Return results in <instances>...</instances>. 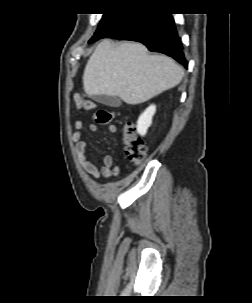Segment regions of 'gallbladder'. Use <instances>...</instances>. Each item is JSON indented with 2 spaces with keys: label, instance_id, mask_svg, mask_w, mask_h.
I'll use <instances>...</instances> for the list:
<instances>
[{
  "label": "gallbladder",
  "instance_id": "bac80fb5",
  "mask_svg": "<svg viewBox=\"0 0 252 303\" xmlns=\"http://www.w3.org/2000/svg\"><path fill=\"white\" fill-rule=\"evenodd\" d=\"M93 99L106 106L110 107H120L121 106V99L117 96H108V95H95Z\"/></svg>",
  "mask_w": 252,
  "mask_h": 303
}]
</instances>
